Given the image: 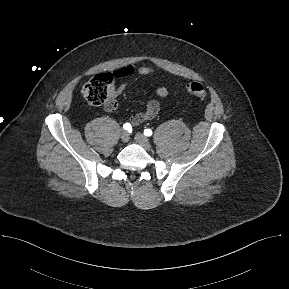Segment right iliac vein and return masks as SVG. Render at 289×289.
<instances>
[{
	"label": "right iliac vein",
	"instance_id": "63e3f726",
	"mask_svg": "<svg viewBox=\"0 0 289 289\" xmlns=\"http://www.w3.org/2000/svg\"><path fill=\"white\" fill-rule=\"evenodd\" d=\"M120 138H121V141L122 142H124V143H126V142H128L129 141V133L127 132V131H123L122 133H121V136H120Z\"/></svg>",
	"mask_w": 289,
	"mask_h": 289
}]
</instances>
